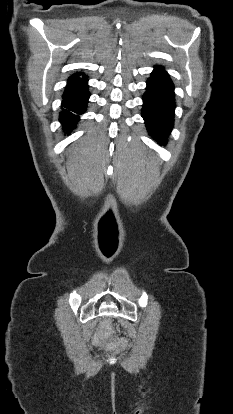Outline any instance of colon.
Returning <instances> with one entry per match:
<instances>
[{"instance_id": "obj_1", "label": "colon", "mask_w": 233, "mask_h": 414, "mask_svg": "<svg viewBox=\"0 0 233 414\" xmlns=\"http://www.w3.org/2000/svg\"><path fill=\"white\" fill-rule=\"evenodd\" d=\"M110 331H111L110 322L108 320H106V321L103 322L101 332L96 338V344L101 345L103 343L102 342L103 338L105 336H107L110 333ZM116 346H117L116 344L109 345V347H111V348H115Z\"/></svg>"}]
</instances>
